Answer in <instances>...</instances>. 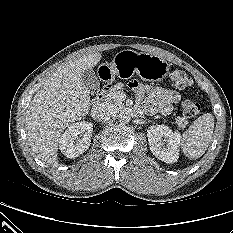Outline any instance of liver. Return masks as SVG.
I'll return each instance as SVG.
<instances>
[{"mask_svg":"<svg viewBox=\"0 0 233 233\" xmlns=\"http://www.w3.org/2000/svg\"><path fill=\"white\" fill-rule=\"evenodd\" d=\"M101 57L95 52L63 64L35 94L26 111V129L29 143L41 160L57 163L61 133L88 114L90 92L82 82V73L96 66Z\"/></svg>","mask_w":233,"mask_h":233,"instance_id":"obj_1","label":"liver"}]
</instances>
